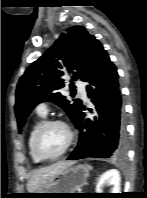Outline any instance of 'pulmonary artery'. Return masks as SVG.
Segmentation results:
<instances>
[{
	"label": "pulmonary artery",
	"instance_id": "e3ab8cb5",
	"mask_svg": "<svg viewBox=\"0 0 147 198\" xmlns=\"http://www.w3.org/2000/svg\"><path fill=\"white\" fill-rule=\"evenodd\" d=\"M76 86H77V89L80 93V95L82 96V98L87 101L88 98H87V93H86V89H85V86L83 83L81 82H77L76 83ZM49 111V107H48V104L46 102H43V103H40L38 106H37V112L38 114L40 115H46Z\"/></svg>",
	"mask_w": 147,
	"mask_h": 198
}]
</instances>
